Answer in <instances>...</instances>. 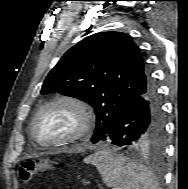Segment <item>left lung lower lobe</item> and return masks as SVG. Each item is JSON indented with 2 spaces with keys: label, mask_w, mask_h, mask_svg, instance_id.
Instances as JSON below:
<instances>
[{
  "label": "left lung lower lobe",
  "mask_w": 188,
  "mask_h": 189,
  "mask_svg": "<svg viewBox=\"0 0 188 189\" xmlns=\"http://www.w3.org/2000/svg\"><path fill=\"white\" fill-rule=\"evenodd\" d=\"M163 126L161 101L152 80L140 87L99 141L135 148L144 137L162 136Z\"/></svg>",
  "instance_id": "0a47b994"
}]
</instances>
